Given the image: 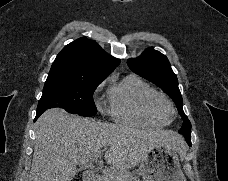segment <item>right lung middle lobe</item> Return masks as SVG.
Masks as SVG:
<instances>
[{
  "instance_id": "obj_1",
  "label": "right lung middle lobe",
  "mask_w": 228,
  "mask_h": 181,
  "mask_svg": "<svg viewBox=\"0 0 228 181\" xmlns=\"http://www.w3.org/2000/svg\"><path fill=\"white\" fill-rule=\"evenodd\" d=\"M102 81L67 82L47 79L38 103L37 116L54 107H61L69 113L85 117L94 116L97 109L93 92Z\"/></svg>"
}]
</instances>
